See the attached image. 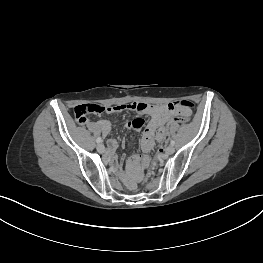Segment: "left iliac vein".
<instances>
[{
    "label": "left iliac vein",
    "mask_w": 263,
    "mask_h": 263,
    "mask_svg": "<svg viewBox=\"0 0 263 263\" xmlns=\"http://www.w3.org/2000/svg\"><path fill=\"white\" fill-rule=\"evenodd\" d=\"M174 151H175V149H174V147H173L172 145H170V146H168V147L166 148V154H168V155L173 154Z\"/></svg>",
    "instance_id": "1"
}]
</instances>
